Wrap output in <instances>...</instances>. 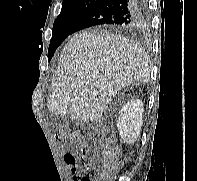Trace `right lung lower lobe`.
I'll return each mask as SVG.
<instances>
[{
	"label": "right lung lower lobe",
	"instance_id": "obj_1",
	"mask_svg": "<svg viewBox=\"0 0 197 181\" xmlns=\"http://www.w3.org/2000/svg\"><path fill=\"white\" fill-rule=\"evenodd\" d=\"M143 2L144 0H100L78 19L70 35L97 25L118 28L140 26L143 23Z\"/></svg>",
	"mask_w": 197,
	"mask_h": 181
}]
</instances>
